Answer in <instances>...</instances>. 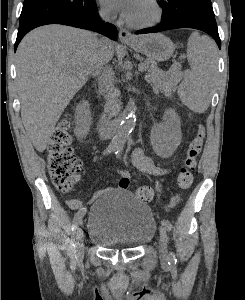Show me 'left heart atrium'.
I'll return each mask as SVG.
<instances>
[{"mask_svg": "<svg viewBox=\"0 0 245 300\" xmlns=\"http://www.w3.org/2000/svg\"><path fill=\"white\" fill-rule=\"evenodd\" d=\"M102 3L113 11L120 12L124 19H127L130 8L135 0H101Z\"/></svg>", "mask_w": 245, "mask_h": 300, "instance_id": "left-heart-atrium-1", "label": "left heart atrium"}]
</instances>
